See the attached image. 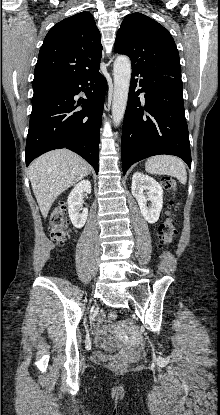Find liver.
<instances>
[{
    "label": "liver",
    "mask_w": 220,
    "mask_h": 415,
    "mask_svg": "<svg viewBox=\"0 0 220 415\" xmlns=\"http://www.w3.org/2000/svg\"><path fill=\"white\" fill-rule=\"evenodd\" d=\"M88 163L67 149L50 151L29 167V179L41 214L47 217L55 199L88 175Z\"/></svg>",
    "instance_id": "1"
}]
</instances>
